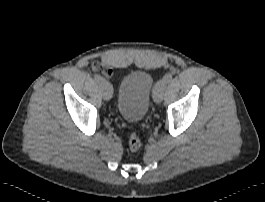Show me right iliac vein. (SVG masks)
Returning <instances> with one entry per match:
<instances>
[{"label":"right iliac vein","instance_id":"right-iliac-vein-1","mask_svg":"<svg viewBox=\"0 0 265 202\" xmlns=\"http://www.w3.org/2000/svg\"><path fill=\"white\" fill-rule=\"evenodd\" d=\"M102 95L105 100H110L113 94V88L112 85L107 81H102L100 83Z\"/></svg>","mask_w":265,"mask_h":202}]
</instances>
